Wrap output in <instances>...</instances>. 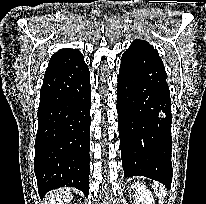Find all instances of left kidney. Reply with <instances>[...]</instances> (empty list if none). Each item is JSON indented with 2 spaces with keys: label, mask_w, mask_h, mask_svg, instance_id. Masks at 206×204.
Instances as JSON below:
<instances>
[{
  "label": "left kidney",
  "mask_w": 206,
  "mask_h": 204,
  "mask_svg": "<svg viewBox=\"0 0 206 204\" xmlns=\"http://www.w3.org/2000/svg\"><path fill=\"white\" fill-rule=\"evenodd\" d=\"M131 189L135 191L133 204H155L152 193L143 183L139 181L134 182V184L131 186Z\"/></svg>",
  "instance_id": "obj_1"
}]
</instances>
